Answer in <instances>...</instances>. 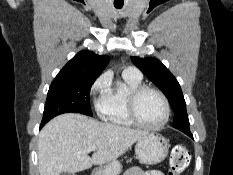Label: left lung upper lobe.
I'll use <instances>...</instances> for the list:
<instances>
[{
    "label": "left lung upper lobe",
    "mask_w": 233,
    "mask_h": 175,
    "mask_svg": "<svg viewBox=\"0 0 233 175\" xmlns=\"http://www.w3.org/2000/svg\"><path fill=\"white\" fill-rule=\"evenodd\" d=\"M131 60L168 98L175 115L173 127L190 134L186 103L176 78L158 59L131 57Z\"/></svg>",
    "instance_id": "5c2ea615"
}]
</instances>
